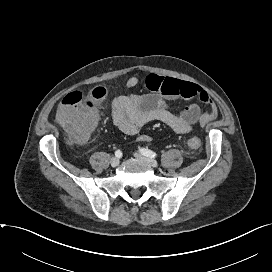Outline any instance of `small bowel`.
Returning a JSON list of instances; mask_svg holds the SVG:
<instances>
[{"label":"small bowel","mask_w":272,"mask_h":272,"mask_svg":"<svg viewBox=\"0 0 272 272\" xmlns=\"http://www.w3.org/2000/svg\"><path fill=\"white\" fill-rule=\"evenodd\" d=\"M140 83L138 76H131L125 83L128 91L116 97L112 102V120L125 134L135 135L140 129L153 121H160L179 134L189 133L197 123L206 125L218 116V109L200 86L171 77L157 74L146 76L144 83L150 93L136 95L130 92ZM197 99L206 106L202 111L200 105L191 103L180 111H173L167 101ZM147 142L150 137L142 135L139 138Z\"/></svg>","instance_id":"small-bowel-1"}]
</instances>
